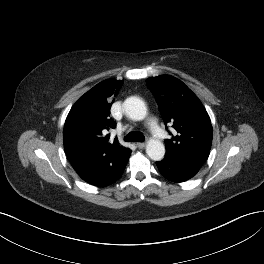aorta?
Listing matches in <instances>:
<instances>
[{
  "label": "aorta",
  "mask_w": 264,
  "mask_h": 264,
  "mask_svg": "<svg viewBox=\"0 0 264 264\" xmlns=\"http://www.w3.org/2000/svg\"><path fill=\"white\" fill-rule=\"evenodd\" d=\"M123 107L127 116L133 120H143L147 114L145 103L138 97L127 98ZM147 155L154 161H160L164 158L165 147L158 139H150L146 146Z\"/></svg>",
  "instance_id": "1"
}]
</instances>
